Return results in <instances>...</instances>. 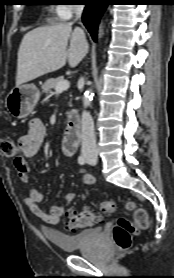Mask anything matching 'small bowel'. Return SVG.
Here are the masks:
<instances>
[{
  "mask_svg": "<svg viewBox=\"0 0 174 278\" xmlns=\"http://www.w3.org/2000/svg\"><path fill=\"white\" fill-rule=\"evenodd\" d=\"M45 135L46 127L44 123L39 119H33L29 123L27 133L21 136L18 140L19 154L14 159V166L17 170L19 180L24 184H27L30 180V168L27 158L34 156L40 150ZM80 177L83 185L90 186L95 184V177L89 172L84 170L80 171ZM75 197V192H68L64 196V206L52 205L48 209H43L38 205L43 200L42 192L38 189L32 188L25 197L24 203L30 211L43 222L56 224L63 216L65 207L70 205Z\"/></svg>",
  "mask_w": 174,
  "mask_h": 278,
  "instance_id": "c3829d8e",
  "label": "small bowel"
}]
</instances>
